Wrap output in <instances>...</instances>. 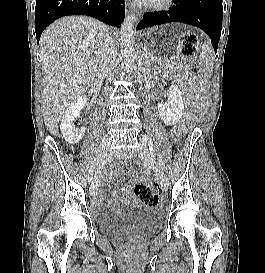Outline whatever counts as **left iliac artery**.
Instances as JSON below:
<instances>
[{
	"instance_id": "44dca946",
	"label": "left iliac artery",
	"mask_w": 265,
	"mask_h": 273,
	"mask_svg": "<svg viewBox=\"0 0 265 273\" xmlns=\"http://www.w3.org/2000/svg\"><path fill=\"white\" fill-rule=\"evenodd\" d=\"M141 140L146 143L148 146H149V150L150 152L152 153V156L154 157V154H153V151H154V145H153V142L151 140V138H148L145 134L141 135ZM159 166H160V169L163 171L164 168H165V164L163 162V160L161 159V157L159 156Z\"/></svg>"
}]
</instances>
